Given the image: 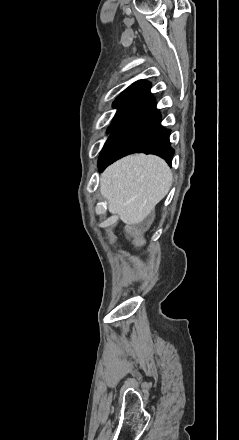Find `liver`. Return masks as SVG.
<instances>
[{
    "instance_id": "6515ba94",
    "label": "liver",
    "mask_w": 239,
    "mask_h": 440,
    "mask_svg": "<svg viewBox=\"0 0 239 440\" xmlns=\"http://www.w3.org/2000/svg\"><path fill=\"white\" fill-rule=\"evenodd\" d=\"M172 180V172L164 160L133 154L103 172L100 192L111 214H118L128 226H136L167 196Z\"/></svg>"
}]
</instances>
